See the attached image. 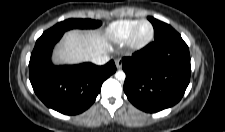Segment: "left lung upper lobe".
I'll use <instances>...</instances> for the list:
<instances>
[{"label":"left lung upper lobe","instance_id":"left-lung-upper-lobe-1","mask_svg":"<svg viewBox=\"0 0 225 132\" xmlns=\"http://www.w3.org/2000/svg\"><path fill=\"white\" fill-rule=\"evenodd\" d=\"M153 27L155 31V40L178 34L170 25L163 22H161L160 24L153 25Z\"/></svg>","mask_w":225,"mask_h":132}]
</instances>
